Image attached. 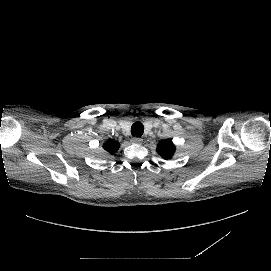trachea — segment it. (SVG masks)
Masks as SVG:
<instances>
[{
	"mask_svg": "<svg viewBox=\"0 0 271 271\" xmlns=\"http://www.w3.org/2000/svg\"><path fill=\"white\" fill-rule=\"evenodd\" d=\"M143 132H144V126L141 122L137 121L132 125L131 134L133 136L140 137L142 136Z\"/></svg>",
	"mask_w": 271,
	"mask_h": 271,
	"instance_id": "trachea-1",
	"label": "trachea"
}]
</instances>
